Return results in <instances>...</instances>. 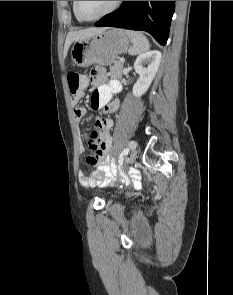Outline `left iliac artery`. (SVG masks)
Here are the masks:
<instances>
[{
	"label": "left iliac artery",
	"instance_id": "left-iliac-artery-1",
	"mask_svg": "<svg viewBox=\"0 0 233 295\" xmlns=\"http://www.w3.org/2000/svg\"><path fill=\"white\" fill-rule=\"evenodd\" d=\"M129 147H131L130 149L133 151L136 148V143L134 140H130L129 141Z\"/></svg>",
	"mask_w": 233,
	"mask_h": 295
}]
</instances>
